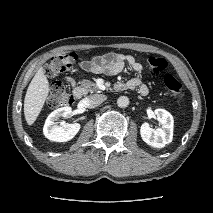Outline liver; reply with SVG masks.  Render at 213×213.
Returning a JSON list of instances; mask_svg holds the SVG:
<instances>
[{
	"instance_id": "obj_1",
	"label": "liver",
	"mask_w": 213,
	"mask_h": 213,
	"mask_svg": "<svg viewBox=\"0 0 213 213\" xmlns=\"http://www.w3.org/2000/svg\"><path fill=\"white\" fill-rule=\"evenodd\" d=\"M49 94V82L40 67L31 80L24 99V116L28 125H32L40 114Z\"/></svg>"
}]
</instances>
